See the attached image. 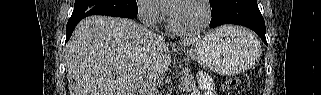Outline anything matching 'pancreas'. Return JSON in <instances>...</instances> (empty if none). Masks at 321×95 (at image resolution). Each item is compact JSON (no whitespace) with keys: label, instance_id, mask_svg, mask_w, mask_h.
Returning <instances> with one entry per match:
<instances>
[{"label":"pancreas","instance_id":"obj_1","mask_svg":"<svg viewBox=\"0 0 321 95\" xmlns=\"http://www.w3.org/2000/svg\"><path fill=\"white\" fill-rule=\"evenodd\" d=\"M180 82V88H183L186 91H191L196 87L194 77L187 71L181 73Z\"/></svg>","mask_w":321,"mask_h":95}]
</instances>
